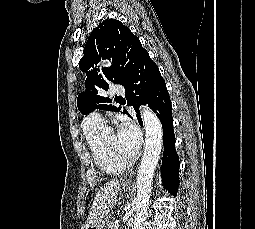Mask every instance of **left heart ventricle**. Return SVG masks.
I'll use <instances>...</instances> for the list:
<instances>
[{"instance_id":"obj_1","label":"left heart ventricle","mask_w":255,"mask_h":229,"mask_svg":"<svg viewBox=\"0 0 255 229\" xmlns=\"http://www.w3.org/2000/svg\"><path fill=\"white\" fill-rule=\"evenodd\" d=\"M104 141L106 142L107 146L111 151H113L115 154H117L119 157L123 159H129L132 157L129 153H127L119 144L117 136L116 135H108L104 138Z\"/></svg>"}]
</instances>
